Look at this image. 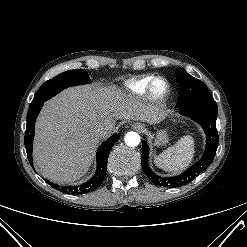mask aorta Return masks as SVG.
Returning <instances> with one entry per match:
<instances>
[{"mask_svg": "<svg viewBox=\"0 0 247 247\" xmlns=\"http://www.w3.org/2000/svg\"><path fill=\"white\" fill-rule=\"evenodd\" d=\"M124 140H125L126 145L130 147H135L139 145L140 143V136L138 133L131 131L125 135Z\"/></svg>", "mask_w": 247, "mask_h": 247, "instance_id": "1", "label": "aorta"}]
</instances>
